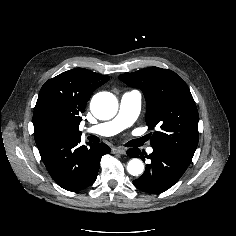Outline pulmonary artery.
<instances>
[{"instance_id": "1", "label": "pulmonary artery", "mask_w": 236, "mask_h": 236, "mask_svg": "<svg viewBox=\"0 0 236 236\" xmlns=\"http://www.w3.org/2000/svg\"><path fill=\"white\" fill-rule=\"evenodd\" d=\"M142 94L138 90L125 92L120 99L119 111L116 117L110 121L85 128L84 133H91L101 136L115 135L130 127L137 119L141 109ZM148 153L153 148H147Z\"/></svg>"}]
</instances>
